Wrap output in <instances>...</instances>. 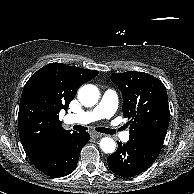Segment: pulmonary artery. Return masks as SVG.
<instances>
[{
  "label": "pulmonary artery",
  "instance_id": "1",
  "mask_svg": "<svg viewBox=\"0 0 194 194\" xmlns=\"http://www.w3.org/2000/svg\"><path fill=\"white\" fill-rule=\"evenodd\" d=\"M118 105V98L116 92L107 90L104 92L100 103L90 111H84L79 114H73L67 116L69 123L75 122L79 124H89L103 118H111ZM123 141L129 140V134L123 133L121 135Z\"/></svg>",
  "mask_w": 194,
  "mask_h": 194
}]
</instances>
